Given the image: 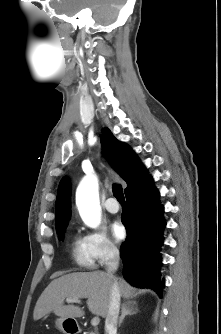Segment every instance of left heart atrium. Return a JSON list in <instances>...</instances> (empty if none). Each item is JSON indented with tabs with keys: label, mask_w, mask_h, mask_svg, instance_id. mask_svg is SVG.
Segmentation results:
<instances>
[{
	"label": "left heart atrium",
	"mask_w": 221,
	"mask_h": 334,
	"mask_svg": "<svg viewBox=\"0 0 221 334\" xmlns=\"http://www.w3.org/2000/svg\"><path fill=\"white\" fill-rule=\"evenodd\" d=\"M111 234L113 236V238L116 240V241H120L124 238L125 236V228L124 226L122 225L121 222L119 221H114L112 224H111Z\"/></svg>",
	"instance_id": "1"
}]
</instances>
